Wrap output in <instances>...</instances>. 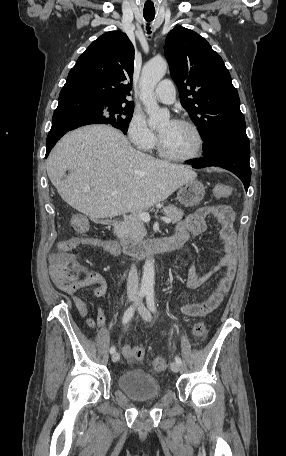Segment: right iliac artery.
<instances>
[{
  "mask_svg": "<svg viewBox=\"0 0 286 456\" xmlns=\"http://www.w3.org/2000/svg\"><path fill=\"white\" fill-rule=\"evenodd\" d=\"M145 294H146V291H145V290H140L139 296H138V300H137V303L131 305V306L125 311L124 316H123V319H122V323H123V324H126L127 322H129V321L132 319V317H133V315H134V312H135L136 305L138 304V302H139L140 300H142V299L144 298ZM115 351H116L115 347L112 346V347L110 348V353H111V354H114Z\"/></svg>",
  "mask_w": 286,
  "mask_h": 456,
  "instance_id": "right-iliac-artery-1",
  "label": "right iliac artery"
}]
</instances>
